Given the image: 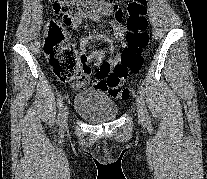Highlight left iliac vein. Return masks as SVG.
<instances>
[{"label": "left iliac vein", "mask_w": 207, "mask_h": 179, "mask_svg": "<svg viewBox=\"0 0 207 179\" xmlns=\"http://www.w3.org/2000/svg\"><path fill=\"white\" fill-rule=\"evenodd\" d=\"M136 106H137V114H138V118L141 122L146 121V114H145V110H144V105L143 102L141 100V96L137 95L136 96Z\"/></svg>", "instance_id": "4c4485c4"}]
</instances>
